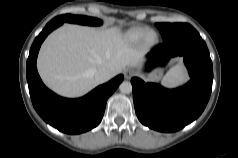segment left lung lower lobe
Here are the masks:
<instances>
[{
	"label": "left lung lower lobe",
	"instance_id": "obj_1",
	"mask_svg": "<svg viewBox=\"0 0 238 158\" xmlns=\"http://www.w3.org/2000/svg\"><path fill=\"white\" fill-rule=\"evenodd\" d=\"M183 56L191 80L169 90L140 78L131 79L133 101L140 122L161 132H175L197 119L210 98L213 67L206 43L194 29L176 34L156 46L147 57L148 68Z\"/></svg>",
	"mask_w": 238,
	"mask_h": 158
}]
</instances>
